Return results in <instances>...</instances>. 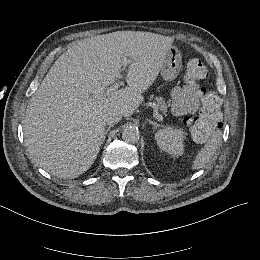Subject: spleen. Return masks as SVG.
<instances>
[{
    "label": "spleen",
    "mask_w": 260,
    "mask_h": 260,
    "mask_svg": "<svg viewBox=\"0 0 260 260\" xmlns=\"http://www.w3.org/2000/svg\"><path fill=\"white\" fill-rule=\"evenodd\" d=\"M222 131L217 128L211 132V135L204 146L198 151L194 161L191 164V170L196 171L205 168L213 155L218 149V145L221 141Z\"/></svg>",
    "instance_id": "3e777b00"
}]
</instances>
